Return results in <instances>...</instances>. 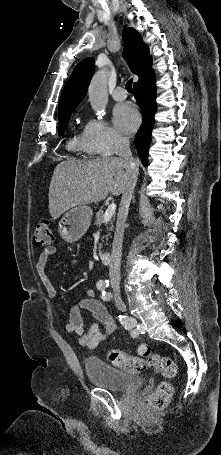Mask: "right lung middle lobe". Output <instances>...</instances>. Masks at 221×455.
I'll use <instances>...</instances> for the list:
<instances>
[{
	"mask_svg": "<svg viewBox=\"0 0 221 455\" xmlns=\"http://www.w3.org/2000/svg\"><path fill=\"white\" fill-rule=\"evenodd\" d=\"M72 110L59 112V136H62L68 124Z\"/></svg>",
	"mask_w": 221,
	"mask_h": 455,
	"instance_id": "1",
	"label": "right lung middle lobe"
}]
</instances>
